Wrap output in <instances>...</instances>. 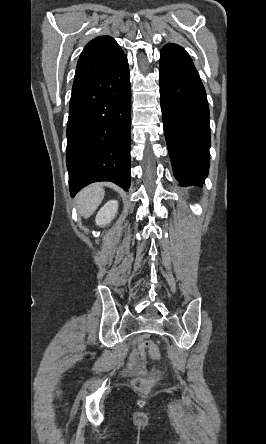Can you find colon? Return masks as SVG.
Segmentation results:
<instances>
[{
    "instance_id": "5ec220e1",
    "label": "colon",
    "mask_w": 266,
    "mask_h": 444,
    "mask_svg": "<svg viewBox=\"0 0 266 444\" xmlns=\"http://www.w3.org/2000/svg\"><path fill=\"white\" fill-rule=\"evenodd\" d=\"M140 353L143 357L153 361L160 360V352L154 341L146 340L142 342L140 345ZM156 380V377H138L133 380V386L138 391L146 392L155 384Z\"/></svg>"
}]
</instances>
